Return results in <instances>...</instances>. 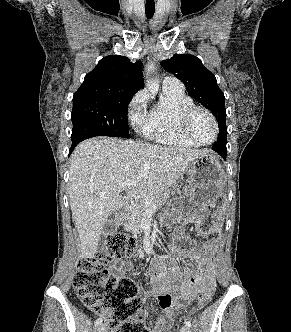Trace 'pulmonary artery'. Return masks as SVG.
I'll use <instances>...</instances> for the list:
<instances>
[{"instance_id": "pulmonary-artery-1", "label": "pulmonary artery", "mask_w": 291, "mask_h": 332, "mask_svg": "<svg viewBox=\"0 0 291 332\" xmlns=\"http://www.w3.org/2000/svg\"><path fill=\"white\" fill-rule=\"evenodd\" d=\"M162 85L163 89L179 90V91L184 90L183 83L177 78L172 76H166L163 79Z\"/></svg>"}]
</instances>
